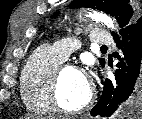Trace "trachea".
Returning a JSON list of instances; mask_svg holds the SVG:
<instances>
[{"mask_svg":"<svg viewBox=\"0 0 142 119\" xmlns=\"http://www.w3.org/2000/svg\"><path fill=\"white\" fill-rule=\"evenodd\" d=\"M101 49H107V46H101Z\"/></svg>","mask_w":142,"mask_h":119,"instance_id":"obj_1","label":"trachea"}]
</instances>
